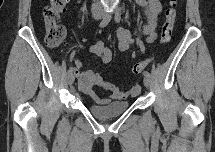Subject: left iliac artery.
Masks as SVG:
<instances>
[{
	"label": "left iliac artery",
	"instance_id": "left-iliac-artery-1",
	"mask_svg": "<svg viewBox=\"0 0 215 152\" xmlns=\"http://www.w3.org/2000/svg\"><path fill=\"white\" fill-rule=\"evenodd\" d=\"M120 20H121V14H120L119 11H117L116 14H115V21L118 23V22H120ZM140 74L142 76L150 75L149 72H147V71H142Z\"/></svg>",
	"mask_w": 215,
	"mask_h": 152
}]
</instances>
